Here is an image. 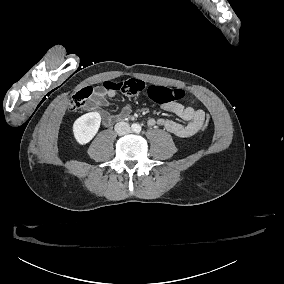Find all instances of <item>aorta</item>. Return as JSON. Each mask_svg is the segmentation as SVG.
I'll use <instances>...</instances> for the list:
<instances>
[{"label": "aorta", "mask_w": 284, "mask_h": 284, "mask_svg": "<svg viewBox=\"0 0 284 284\" xmlns=\"http://www.w3.org/2000/svg\"><path fill=\"white\" fill-rule=\"evenodd\" d=\"M132 129L134 132H140L141 131V126L139 124H133Z\"/></svg>", "instance_id": "762f6f07"}]
</instances>
